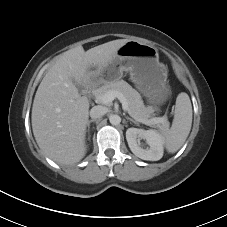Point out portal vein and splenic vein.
<instances>
[{
    "instance_id": "1",
    "label": "portal vein and splenic vein",
    "mask_w": 227,
    "mask_h": 227,
    "mask_svg": "<svg viewBox=\"0 0 227 227\" xmlns=\"http://www.w3.org/2000/svg\"><path fill=\"white\" fill-rule=\"evenodd\" d=\"M115 98H118L119 101L122 103L123 110L128 111V103H127L125 97L119 92L109 91V92L105 93L104 95L99 96L97 99L99 100V102H101L103 104H109ZM138 120L142 123H145V124H151V123H162L164 121V118L155 117V118H153L149 121H144V120H141V119H138Z\"/></svg>"
}]
</instances>
